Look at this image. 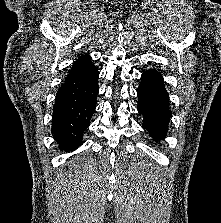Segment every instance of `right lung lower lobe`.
Instances as JSON below:
<instances>
[{"label":"right lung lower lobe","instance_id":"1","mask_svg":"<svg viewBox=\"0 0 221 223\" xmlns=\"http://www.w3.org/2000/svg\"><path fill=\"white\" fill-rule=\"evenodd\" d=\"M99 71L92 66L82 74L65 81L55 98L52 134L64 151L76 149L90 125L96 109Z\"/></svg>","mask_w":221,"mask_h":223}]
</instances>
